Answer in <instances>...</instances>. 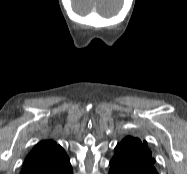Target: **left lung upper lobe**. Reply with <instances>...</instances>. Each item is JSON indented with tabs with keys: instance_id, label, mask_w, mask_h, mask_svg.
I'll return each instance as SVG.
<instances>
[{
	"instance_id": "left-lung-upper-lobe-1",
	"label": "left lung upper lobe",
	"mask_w": 187,
	"mask_h": 174,
	"mask_svg": "<svg viewBox=\"0 0 187 174\" xmlns=\"http://www.w3.org/2000/svg\"><path fill=\"white\" fill-rule=\"evenodd\" d=\"M154 162L151 151L146 147V141L142 143L140 139L128 136L115 147L110 164H125L131 172L141 174L144 168L157 172Z\"/></svg>"
}]
</instances>
